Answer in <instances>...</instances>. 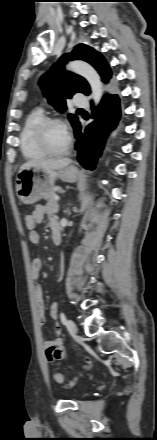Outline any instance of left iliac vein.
<instances>
[{
    "label": "left iliac vein",
    "instance_id": "left-iliac-vein-1",
    "mask_svg": "<svg viewBox=\"0 0 157 440\" xmlns=\"http://www.w3.org/2000/svg\"><path fill=\"white\" fill-rule=\"evenodd\" d=\"M68 330L71 335L77 336V334H78L77 327H76L75 323L71 320H69V322H68Z\"/></svg>",
    "mask_w": 157,
    "mask_h": 440
}]
</instances>
